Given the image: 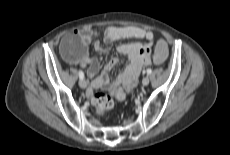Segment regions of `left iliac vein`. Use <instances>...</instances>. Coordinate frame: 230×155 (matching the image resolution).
<instances>
[{
    "instance_id": "4c4485c4",
    "label": "left iliac vein",
    "mask_w": 230,
    "mask_h": 155,
    "mask_svg": "<svg viewBox=\"0 0 230 155\" xmlns=\"http://www.w3.org/2000/svg\"><path fill=\"white\" fill-rule=\"evenodd\" d=\"M149 84V78L148 77H144L143 79H142V85L143 86H147Z\"/></svg>"
}]
</instances>
